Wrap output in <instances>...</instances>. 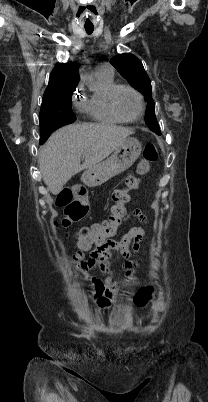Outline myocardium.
Returning a JSON list of instances; mask_svg holds the SVG:
<instances>
[{
    "mask_svg": "<svg viewBox=\"0 0 208 402\" xmlns=\"http://www.w3.org/2000/svg\"><path fill=\"white\" fill-rule=\"evenodd\" d=\"M121 90H129L131 92H133L139 99L140 101V111L138 113V115L134 118H126L123 115L120 114V112L117 110L116 107V96L117 94L121 91ZM109 106L111 109V112L113 113V115L120 121L122 122H126V123H131V122H136L138 121L144 114V110H145V100H144V96L135 88L129 86V85H117L112 92L110 93L109 96Z\"/></svg>",
    "mask_w": 208,
    "mask_h": 402,
    "instance_id": "myocardium-1",
    "label": "myocardium"
}]
</instances>
